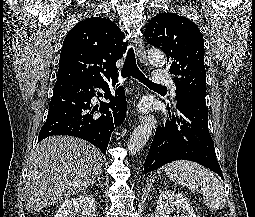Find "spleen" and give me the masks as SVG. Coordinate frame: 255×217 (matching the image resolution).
<instances>
[{"mask_svg": "<svg viewBox=\"0 0 255 217\" xmlns=\"http://www.w3.org/2000/svg\"><path fill=\"white\" fill-rule=\"evenodd\" d=\"M165 172L173 182L200 193L210 210L215 211L225 206L226 199L222 183L203 166L179 160L168 164Z\"/></svg>", "mask_w": 255, "mask_h": 217, "instance_id": "obj_1", "label": "spleen"}]
</instances>
